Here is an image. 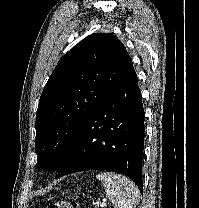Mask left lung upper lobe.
Instances as JSON below:
<instances>
[{
  "label": "left lung upper lobe",
  "mask_w": 199,
  "mask_h": 208,
  "mask_svg": "<svg viewBox=\"0 0 199 208\" xmlns=\"http://www.w3.org/2000/svg\"><path fill=\"white\" fill-rule=\"evenodd\" d=\"M132 67L111 33L86 37L60 59L39 100L36 166L57 171L91 113Z\"/></svg>",
  "instance_id": "5c2ea615"
}]
</instances>
